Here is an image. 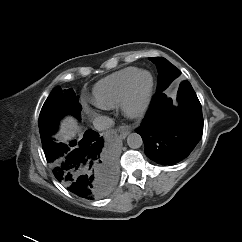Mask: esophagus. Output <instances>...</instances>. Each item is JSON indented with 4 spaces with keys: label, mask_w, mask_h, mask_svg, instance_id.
<instances>
[{
    "label": "esophagus",
    "mask_w": 242,
    "mask_h": 242,
    "mask_svg": "<svg viewBox=\"0 0 242 242\" xmlns=\"http://www.w3.org/2000/svg\"><path fill=\"white\" fill-rule=\"evenodd\" d=\"M130 133V130L127 127H121L120 129V139H125L127 135Z\"/></svg>",
    "instance_id": "1"
}]
</instances>
